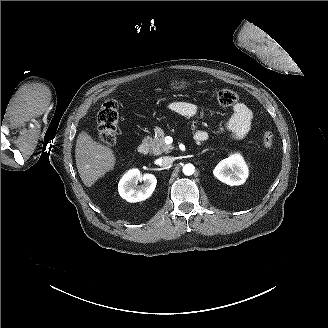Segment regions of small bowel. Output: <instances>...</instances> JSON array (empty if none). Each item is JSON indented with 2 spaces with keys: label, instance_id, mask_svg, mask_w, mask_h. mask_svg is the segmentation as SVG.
<instances>
[{
  "label": "small bowel",
  "instance_id": "obj_1",
  "mask_svg": "<svg viewBox=\"0 0 328 328\" xmlns=\"http://www.w3.org/2000/svg\"><path fill=\"white\" fill-rule=\"evenodd\" d=\"M168 109L178 115L184 117H193L198 114L199 108L197 105L190 102L176 101L168 105ZM253 122V112L244 103L238 102L233 107V113L226 121L225 126L231 132L235 140L244 139L251 130ZM203 133V131H197ZM196 133V134H197ZM206 135V134H205Z\"/></svg>",
  "mask_w": 328,
  "mask_h": 328
}]
</instances>
